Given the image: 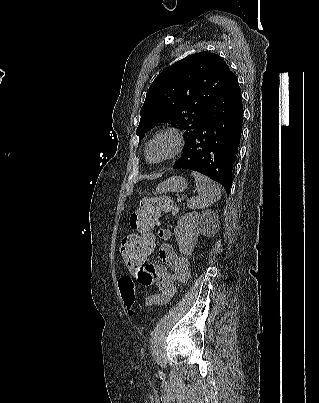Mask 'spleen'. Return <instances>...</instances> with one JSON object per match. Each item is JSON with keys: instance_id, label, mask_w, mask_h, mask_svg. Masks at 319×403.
<instances>
[{"instance_id": "1", "label": "spleen", "mask_w": 319, "mask_h": 403, "mask_svg": "<svg viewBox=\"0 0 319 403\" xmlns=\"http://www.w3.org/2000/svg\"><path fill=\"white\" fill-rule=\"evenodd\" d=\"M191 174L195 179L198 195L187 201V207L189 209H203L209 207L221 198L219 185L199 172L193 171Z\"/></svg>"}]
</instances>
